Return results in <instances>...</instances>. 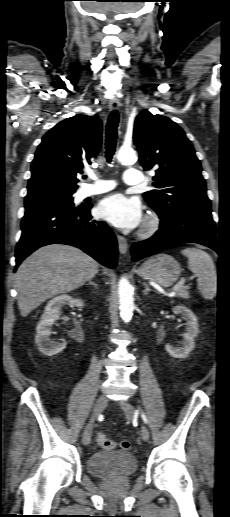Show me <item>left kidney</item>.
<instances>
[{"instance_id":"left-kidney-1","label":"left kidney","mask_w":230,"mask_h":517,"mask_svg":"<svg viewBox=\"0 0 230 517\" xmlns=\"http://www.w3.org/2000/svg\"><path fill=\"white\" fill-rule=\"evenodd\" d=\"M173 312L175 314H181L186 320V332L183 334L184 340L181 343V347H174L167 344L165 345V350L175 358H186L195 347L194 338L199 332L197 317L190 309L184 306L174 307Z\"/></svg>"}]
</instances>
